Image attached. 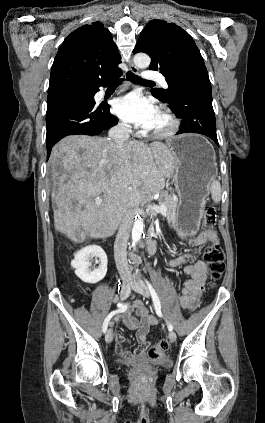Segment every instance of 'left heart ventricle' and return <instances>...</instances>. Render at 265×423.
<instances>
[{
  "label": "left heart ventricle",
  "mask_w": 265,
  "mask_h": 423,
  "mask_svg": "<svg viewBox=\"0 0 265 423\" xmlns=\"http://www.w3.org/2000/svg\"><path fill=\"white\" fill-rule=\"evenodd\" d=\"M168 126V120L163 116L161 112H157V115L149 128L150 130H161Z\"/></svg>",
  "instance_id": "1"
}]
</instances>
